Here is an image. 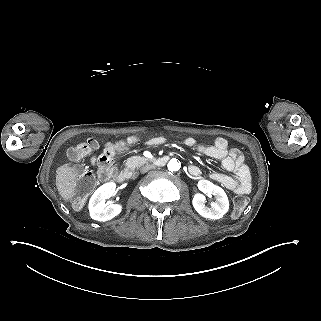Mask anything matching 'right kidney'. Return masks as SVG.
I'll list each match as a JSON object with an SVG mask.
<instances>
[{
    "mask_svg": "<svg viewBox=\"0 0 321 321\" xmlns=\"http://www.w3.org/2000/svg\"><path fill=\"white\" fill-rule=\"evenodd\" d=\"M116 195V183L108 182L100 186L89 201V214L93 220L109 221L123 211L122 204H108L105 199Z\"/></svg>",
    "mask_w": 321,
    "mask_h": 321,
    "instance_id": "obj_1",
    "label": "right kidney"
}]
</instances>
